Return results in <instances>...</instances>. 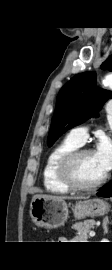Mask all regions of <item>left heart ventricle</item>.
<instances>
[{
  "label": "left heart ventricle",
  "mask_w": 112,
  "mask_h": 270,
  "mask_svg": "<svg viewBox=\"0 0 112 270\" xmlns=\"http://www.w3.org/2000/svg\"><path fill=\"white\" fill-rule=\"evenodd\" d=\"M74 170L76 179L82 184L95 183L104 176L94 153L83 155L76 162Z\"/></svg>",
  "instance_id": "b2bd125f"
}]
</instances>
